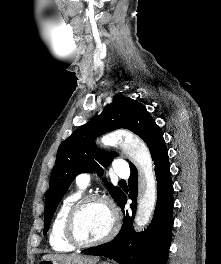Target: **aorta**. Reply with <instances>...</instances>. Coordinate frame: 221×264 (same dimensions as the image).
<instances>
[{
  "label": "aorta",
  "mask_w": 221,
  "mask_h": 264,
  "mask_svg": "<svg viewBox=\"0 0 221 264\" xmlns=\"http://www.w3.org/2000/svg\"><path fill=\"white\" fill-rule=\"evenodd\" d=\"M101 143L104 146L119 144L139 170L138 206L134 229L140 232L150 222L157 200L156 177L149 149L142 141L128 134L106 135L101 138Z\"/></svg>",
  "instance_id": "aorta-1"
}]
</instances>
